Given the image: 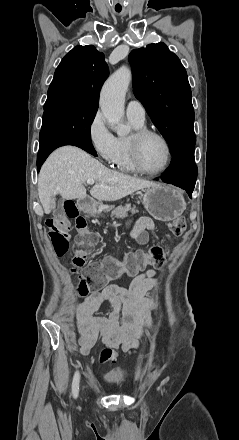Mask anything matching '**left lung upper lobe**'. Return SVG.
<instances>
[{
    "mask_svg": "<svg viewBox=\"0 0 239 440\" xmlns=\"http://www.w3.org/2000/svg\"><path fill=\"white\" fill-rule=\"evenodd\" d=\"M133 90L171 152L195 142L194 109L187 73L164 43L149 44L129 54Z\"/></svg>",
    "mask_w": 239,
    "mask_h": 440,
    "instance_id": "left-lung-upper-lobe-1",
    "label": "left lung upper lobe"
}]
</instances>
